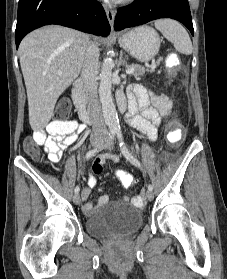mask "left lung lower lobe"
<instances>
[{
    "label": "left lung lower lobe",
    "instance_id": "1",
    "mask_svg": "<svg viewBox=\"0 0 227 279\" xmlns=\"http://www.w3.org/2000/svg\"><path fill=\"white\" fill-rule=\"evenodd\" d=\"M160 18L180 21L194 34L188 0H135L118 10L114 29L119 31Z\"/></svg>",
    "mask_w": 227,
    "mask_h": 279
}]
</instances>
